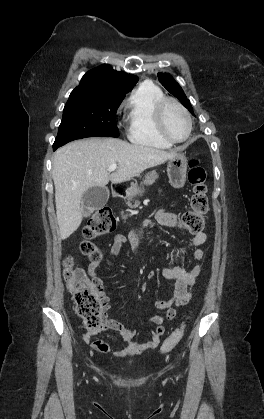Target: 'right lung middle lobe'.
<instances>
[{
    "label": "right lung middle lobe",
    "mask_w": 264,
    "mask_h": 419,
    "mask_svg": "<svg viewBox=\"0 0 264 419\" xmlns=\"http://www.w3.org/2000/svg\"><path fill=\"white\" fill-rule=\"evenodd\" d=\"M124 96L74 89L63 110L53 147L86 137H118L116 111Z\"/></svg>",
    "instance_id": "obj_1"
}]
</instances>
